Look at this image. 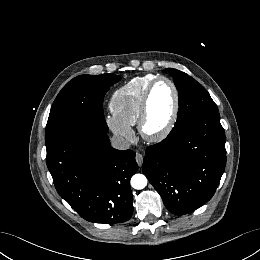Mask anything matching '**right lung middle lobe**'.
Listing matches in <instances>:
<instances>
[{
  "mask_svg": "<svg viewBox=\"0 0 260 260\" xmlns=\"http://www.w3.org/2000/svg\"><path fill=\"white\" fill-rule=\"evenodd\" d=\"M120 79L115 74L80 75L63 87L52 105L46 126L47 154L80 129L89 127L108 132L103 98Z\"/></svg>",
  "mask_w": 260,
  "mask_h": 260,
  "instance_id": "obj_1",
  "label": "right lung middle lobe"
}]
</instances>
